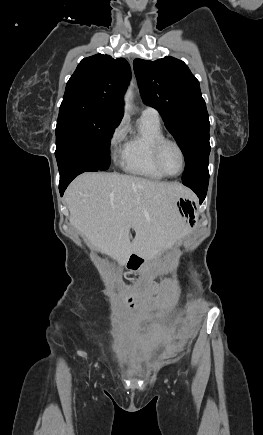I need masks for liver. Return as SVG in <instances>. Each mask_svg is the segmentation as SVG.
<instances>
[{
  "instance_id": "obj_1",
  "label": "liver",
  "mask_w": 263,
  "mask_h": 435,
  "mask_svg": "<svg viewBox=\"0 0 263 435\" xmlns=\"http://www.w3.org/2000/svg\"><path fill=\"white\" fill-rule=\"evenodd\" d=\"M186 194L177 182L87 172L69 185L65 200L70 223L85 241L125 265L131 254L152 259L188 233L176 205Z\"/></svg>"
}]
</instances>
